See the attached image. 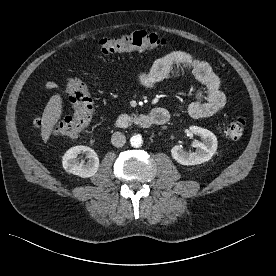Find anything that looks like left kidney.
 I'll list each match as a JSON object with an SVG mask.
<instances>
[{
	"label": "left kidney",
	"instance_id": "1",
	"mask_svg": "<svg viewBox=\"0 0 276 276\" xmlns=\"http://www.w3.org/2000/svg\"><path fill=\"white\" fill-rule=\"evenodd\" d=\"M189 133L200 136L202 142H194L195 152L184 151L181 146H174L171 149L172 157L182 165H197L212 158L217 150V138L209 130L198 126H191L187 129Z\"/></svg>",
	"mask_w": 276,
	"mask_h": 276
}]
</instances>
